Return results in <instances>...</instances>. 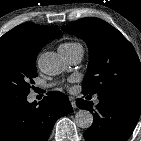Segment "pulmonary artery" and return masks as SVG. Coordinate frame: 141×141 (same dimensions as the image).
I'll use <instances>...</instances> for the list:
<instances>
[{
	"instance_id": "e3ab8cb5",
	"label": "pulmonary artery",
	"mask_w": 141,
	"mask_h": 141,
	"mask_svg": "<svg viewBox=\"0 0 141 141\" xmlns=\"http://www.w3.org/2000/svg\"><path fill=\"white\" fill-rule=\"evenodd\" d=\"M60 54L71 64H77L81 61L83 56L82 46H76L71 49L59 48ZM95 103H98V98L94 99Z\"/></svg>"
}]
</instances>
